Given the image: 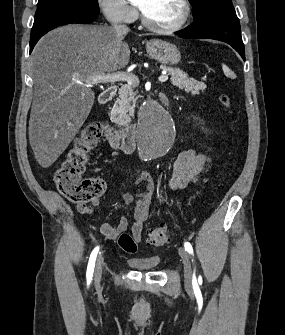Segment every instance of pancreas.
Returning <instances> with one entry per match:
<instances>
[{
  "label": "pancreas",
  "mask_w": 285,
  "mask_h": 335,
  "mask_svg": "<svg viewBox=\"0 0 285 335\" xmlns=\"http://www.w3.org/2000/svg\"><path fill=\"white\" fill-rule=\"evenodd\" d=\"M161 70L169 72L173 86H178L179 90L191 92L193 96L200 94V90H205L204 82H197L194 78H189L186 72H182L179 68H167V66H160ZM133 86H122L116 105H112V112L108 113V118L114 122L115 125H128L131 122L130 116L134 112V106L131 102L135 100L137 94L132 90Z\"/></svg>",
  "instance_id": "1"
}]
</instances>
